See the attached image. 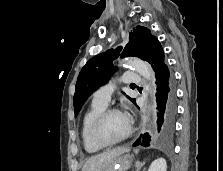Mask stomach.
I'll use <instances>...</instances> for the list:
<instances>
[{
	"label": "stomach",
	"instance_id": "0dacf381",
	"mask_svg": "<svg viewBox=\"0 0 223 171\" xmlns=\"http://www.w3.org/2000/svg\"><path fill=\"white\" fill-rule=\"evenodd\" d=\"M132 164V157L124 152L120 154L112 164H110L103 171H127Z\"/></svg>",
	"mask_w": 223,
	"mask_h": 171
}]
</instances>
